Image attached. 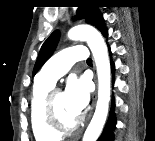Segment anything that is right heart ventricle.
Here are the masks:
<instances>
[{
    "label": "right heart ventricle",
    "mask_w": 155,
    "mask_h": 141,
    "mask_svg": "<svg viewBox=\"0 0 155 141\" xmlns=\"http://www.w3.org/2000/svg\"><path fill=\"white\" fill-rule=\"evenodd\" d=\"M54 84L37 80L32 91L30 100V122L32 132L37 141H56L60 134L52 131L44 119V99Z\"/></svg>",
    "instance_id": "right-heart-ventricle-1"
}]
</instances>
